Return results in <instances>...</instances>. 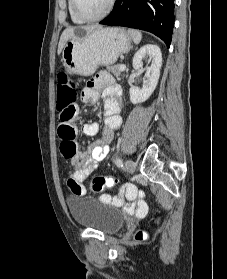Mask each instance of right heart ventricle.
I'll use <instances>...</instances> for the list:
<instances>
[{
    "label": "right heart ventricle",
    "instance_id": "e07e8e85",
    "mask_svg": "<svg viewBox=\"0 0 227 279\" xmlns=\"http://www.w3.org/2000/svg\"><path fill=\"white\" fill-rule=\"evenodd\" d=\"M67 8H68V13L70 15L71 21L75 24H82L83 21L80 20L78 17H76V15L73 12L71 0H67Z\"/></svg>",
    "mask_w": 227,
    "mask_h": 279
}]
</instances>
